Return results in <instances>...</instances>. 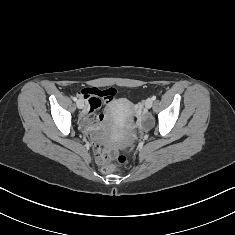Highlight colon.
<instances>
[{"instance_id":"1","label":"colon","mask_w":235,"mask_h":235,"mask_svg":"<svg viewBox=\"0 0 235 235\" xmlns=\"http://www.w3.org/2000/svg\"><path fill=\"white\" fill-rule=\"evenodd\" d=\"M115 95V90L113 88L105 89L101 92V96L104 98H110ZM96 161L101 165V169L104 173L113 172L116 167H123L128 163V157L126 154L115 155V160L117 165L111 164L112 153L102 147L97 146L95 148Z\"/></svg>"}]
</instances>
